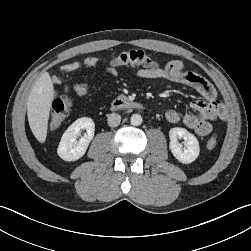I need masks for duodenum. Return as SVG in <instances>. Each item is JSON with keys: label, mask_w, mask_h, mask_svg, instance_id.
Instances as JSON below:
<instances>
[{"label": "duodenum", "mask_w": 251, "mask_h": 251, "mask_svg": "<svg viewBox=\"0 0 251 251\" xmlns=\"http://www.w3.org/2000/svg\"><path fill=\"white\" fill-rule=\"evenodd\" d=\"M135 108L138 109L142 108V105L126 97H118L111 102L112 110L135 109Z\"/></svg>", "instance_id": "obj_1"}]
</instances>
